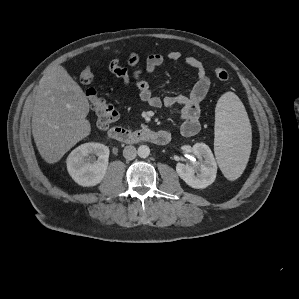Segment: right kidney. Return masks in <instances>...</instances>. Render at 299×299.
Wrapping results in <instances>:
<instances>
[{"mask_svg": "<svg viewBox=\"0 0 299 299\" xmlns=\"http://www.w3.org/2000/svg\"><path fill=\"white\" fill-rule=\"evenodd\" d=\"M108 158L109 148L104 144L85 143L69 154L66 160L67 170L77 184L84 187L95 186L107 172Z\"/></svg>", "mask_w": 299, "mask_h": 299, "instance_id": "1", "label": "right kidney"}]
</instances>
